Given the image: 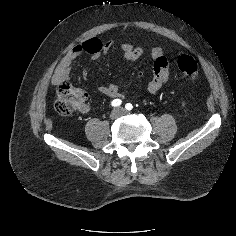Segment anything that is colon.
Returning <instances> with one entry per match:
<instances>
[{
  "label": "colon",
  "mask_w": 236,
  "mask_h": 236,
  "mask_svg": "<svg viewBox=\"0 0 236 236\" xmlns=\"http://www.w3.org/2000/svg\"><path fill=\"white\" fill-rule=\"evenodd\" d=\"M177 68L180 74L187 79H194L198 74L197 62L189 55H183L178 59ZM85 99L86 93L82 89L62 83L57 90L55 109L60 115L70 116L83 106Z\"/></svg>",
  "instance_id": "1"
}]
</instances>
